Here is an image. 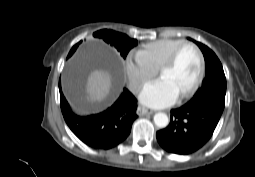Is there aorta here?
Instances as JSON below:
<instances>
[{"mask_svg":"<svg viewBox=\"0 0 255 177\" xmlns=\"http://www.w3.org/2000/svg\"><path fill=\"white\" fill-rule=\"evenodd\" d=\"M154 123L159 128H165L169 123L168 116L162 112L156 113L154 115Z\"/></svg>","mask_w":255,"mask_h":177,"instance_id":"obj_1","label":"aorta"}]
</instances>
